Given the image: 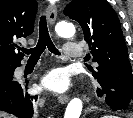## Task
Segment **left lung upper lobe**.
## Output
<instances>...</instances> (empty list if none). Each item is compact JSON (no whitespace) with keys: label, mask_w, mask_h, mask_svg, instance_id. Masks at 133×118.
<instances>
[{"label":"left lung upper lobe","mask_w":133,"mask_h":118,"mask_svg":"<svg viewBox=\"0 0 133 118\" xmlns=\"http://www.w3.org/2000/svg\"><path fill=\"white\" fill-rule=\"evenodd\" d=\"M64 14L76 20L82 27L93 62L97 63L93 76L100 88L122 91L133 100V75L127 57V47L119 19L105 0H72Z\"/></svg>","instance_id":"5c2ea615"}]
</instances>
